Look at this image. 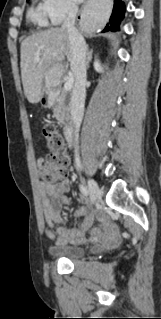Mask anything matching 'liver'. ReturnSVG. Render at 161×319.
<instances>
[{
	"mask_svg": "<svg viewBox=\"0 0 161 319\" xmlns=\"http://www.w3.org/2000/svg\"><path fill=\"white\" fill-rule=\"evenodd\" d=\"M65 56L72 61L69 36L62 28H51L22 41L21 77L25 96L30 103L36 104L41 100L45 73L54 65L60 66Z\"/></svg>",
	"mask_w": 161,
	"mask_h": 319,
	"instance_id": "6515ba94",
	"label": "liver"
}]
</instances>
